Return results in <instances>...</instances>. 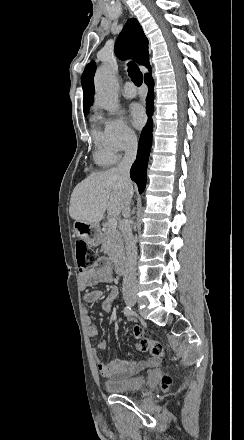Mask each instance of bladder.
Wrapping results in <instances>:
<instances>
[{"mask_svg":"<svg viewBox=\"0 0 244 440\" xmlns=\"http://www.w3.org/2000/svg\"><path fill=\"white\" fill-rule=\"evenodd\" d=\"M144 382V377H132L122 382L108 381L105 382V386L110 393L128 392L142 389Z\"/></svg>","mask_w":244,"mask_h":440,"instance_id":"bladder-1","label":"bladder"}]
</instances>
